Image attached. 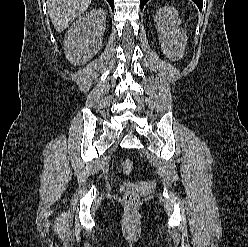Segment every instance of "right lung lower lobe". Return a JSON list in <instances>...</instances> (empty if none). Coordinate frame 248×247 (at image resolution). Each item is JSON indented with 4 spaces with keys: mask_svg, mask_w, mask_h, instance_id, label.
<instances>
[{
    "mask_svg": "<svg viewBox=\"0 0 248 247\" xmlns=\"http://www.w3.org/2000/svg\"><path fill=\"white\" fill-rule=\"evenodd\" d=\"M107 1L109 2L111 8L113 9V7H114V0H107Z\"/></svg>",
    "mask_w": 248,
    "mask_h": 247,
    "instance_id": "1",
    "label": "right lung lower lobe"
}]
</instances>
